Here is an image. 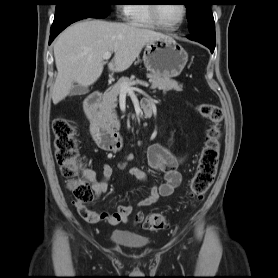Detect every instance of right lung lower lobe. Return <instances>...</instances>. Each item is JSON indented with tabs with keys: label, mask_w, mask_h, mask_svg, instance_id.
<instances>
[{
	"label": "right lung lower lobe",
	"mask_w": 278,
	"mask_h": 278,
	"mask_svg": "<svg viewBox=\"0 0 278 278\" xmlns=\"http://www.w3.org/2000/svg\"><path fill=\"white\" fill-rule=\"evenodd\" d=\"M85 18H89L86 16H79V17H73V18H69L61 23H59L56 26H52L51 27V35H50V39H49V44L54 40V38L62 31L64 30L67 26H69L70 24H72L73 22H76L78 20L81 19H85Z\"/></svg>",
	"instance_id": "right-lung-lower-lobe-1"
}]
</instances>
